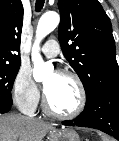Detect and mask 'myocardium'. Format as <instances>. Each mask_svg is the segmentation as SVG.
Instances as JSON below:
<instances>
[{
	"mask_svg": "<svg viewBox=\"0 0 119 141\" xmlns=\"http://www.w3.org/2000/svg\"><path fill=\"white\" fill-rule=\"evenodd\" d=\"M56 74L58 75H62V76H68L70 78H72L79 90V103L77 108L70 112V113H61L58 112L56 110H54L48 100L46 95H43V108L45 110V112L55 118H59V119H73L78 117L85 109L86 104H87V93H86V89L85 86L83 84V81L81 80V78L79 77L78 74H76L75 72L71 71V70H67V69H59L56 71Z\"/></svg>",
	"mask_w": 119,
	"mask_h": 141,
	"instance_id": "obj_1",
	"label": "myocardium"
}]
</instances>
